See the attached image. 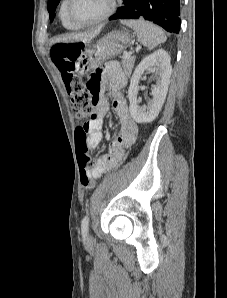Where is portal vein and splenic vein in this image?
<instances>
[{
	"label": "portal vein and splenic vein",
	"mask_w": 227,
	"mask_h": 298,
	"mask_svg": "<svg viewBox=\"0 0 227 298\" xmlns=\"http://www.w3.org/2000/svg\"><path fill=\"white\" fill-rule=\"evenodd\" d=\"M130 55H131L130 52H126V51H125V52L123 53L124 58H128Z\"/></svg>",
	"instance_id": "obj_1"
}]
</instances>
